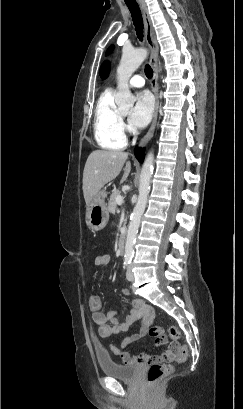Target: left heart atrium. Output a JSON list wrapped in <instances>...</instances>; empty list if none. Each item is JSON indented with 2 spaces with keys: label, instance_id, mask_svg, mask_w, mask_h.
<instances>
[{
  "label": "left heart atrium",
  "instance_id": "left-heart-atrium-1",
  "mask_svg": "<svg viewBox=\"0 0 243 409\" xmlns=\"http://www.w3.org/2000/svg\"><path fill=\"white\" fill-rule=\"evenodd\" d=\"M153 100L148 91H141L136 96V101L129 112L128 119L133 127L143 128L151 120L153 114Z\"/></svg>",
  "mask_w": 243,
  "mask_h": 409
}]
</instances>
